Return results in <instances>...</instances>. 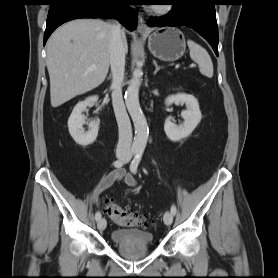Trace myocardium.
<instances>
[{
	"label": "myocardium",
	"instance_id": "myocardium-1",
	"mask_svg": "<svg viewBox=\"0 0 278 278\" xmlns=\"http://www.w3.org/2000/svg\"><path fill=\"white\" fill-rule=\"evenodd\" d=\"M172 7H173L172 4H161V5L154 6L152 8V11L155 14L164 15L169 13L172 10Z\"/></svg>",
	"mask_w": 278,
	"mask_h": 278
}]
</instances>
